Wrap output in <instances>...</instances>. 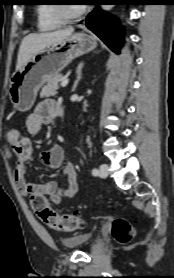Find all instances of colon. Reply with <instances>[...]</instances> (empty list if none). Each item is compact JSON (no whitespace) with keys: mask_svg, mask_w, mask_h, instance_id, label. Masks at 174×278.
Instances as JSON below:
<instances>
[{"mask_svg":"<svg viewBox=\"0 0 174 278\" xmlns=\"http://www.w3.org/2000/svg\"><path fill=\"white\" fill-rule=\"evenodd\" d=\"M17 130H10L7 134V142L13 145L21 138ZM30 204L37 217L48 227L58 231H74L85 226V220L79 213L59 214L53 211L47 199L42 194L33 193L30 195ZM134 229L129 222L124 219H115L112 222V235L121 242L126 243L131 240Z\"/></svg>","mask_w":174,"mask_h":278,"instance_id":"colon-1","label":"colon"}]
</instances>
